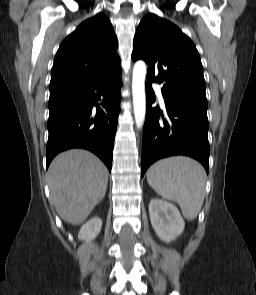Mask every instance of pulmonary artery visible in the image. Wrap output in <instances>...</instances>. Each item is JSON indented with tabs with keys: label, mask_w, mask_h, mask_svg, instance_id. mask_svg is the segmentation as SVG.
Wrapping results in <instances>:
<instances>
[{
	"label": "pulmonary artery",
	"mask_w": 256,
	"mask_h": 295,
	"mask_svg": "<svg viewBox=\"0 0 256 295\" xmlns=\"http://www.w3.org/2000/svg\"><path fill=\"white\" fill-rule=\"evenodd\" d=\"M154 88H155V90H156V93H157V95H158V98H159L160 102H161L162 104H164V98H163V94H162L161 86L158 85V84H154Z\"/></svg>",
	"instance_id": "pulmonary-artery-1"
}]
</instances>
